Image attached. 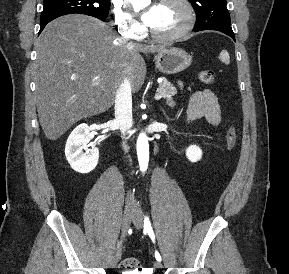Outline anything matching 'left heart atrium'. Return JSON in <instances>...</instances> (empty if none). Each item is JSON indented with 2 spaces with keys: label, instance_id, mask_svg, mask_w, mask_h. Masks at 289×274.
<instances>
[{
  "label": "left heart atrium",
  "instance_id": "39dd6f15",
  "mask_svg": "<svg viewBox=\"0 0 289 274\" xmlns=\"http://www.w3.org/2000/svg\"><path fill=\"white\" fill-rule=\"evenodd\" d=\"M156 8L157 5L150 6L141 16L144 23H146L149 26L152 24L154 20Z\"/></svg>",
  "mask_w": 289,
  "mask_h": 274
}]
</instances>
